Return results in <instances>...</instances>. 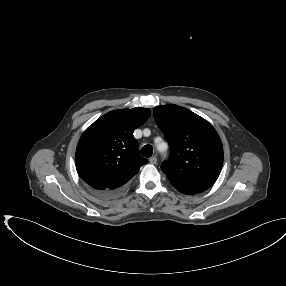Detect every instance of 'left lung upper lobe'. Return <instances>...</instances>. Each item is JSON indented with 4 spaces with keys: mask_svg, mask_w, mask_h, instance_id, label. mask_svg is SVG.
<instances>
[{
    "mask_svg": "<svg viewBox=\"0 0 286 286\" xmlns=\"http://www.w3.org/2000/svg\"><path fill=\"white\" fill-rule=\"evenodd\" d=\"M153 114L170 146V158L161 165L170 183L184 194L210 188L223 164L222 142L213 126L174 104L157 106Z\"/></svg>",
    "mask_w": 286,
    "mask_h": 286,
    "instance_id": "left-lung-upper-lobe-1",
    "label": "left lung upper lobe"
}]
</instances>
